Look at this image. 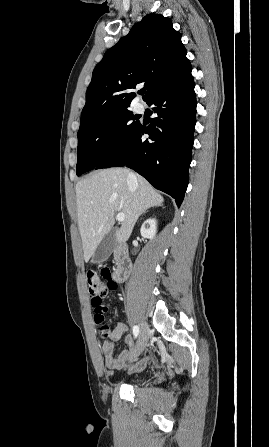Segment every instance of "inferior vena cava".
<instances>
[{
    "mask_svg": "<svg viewBox=\"0 0 269 447\" xmlns=\"http://www.w3.org/2000/svg\"><path fill=\"white\" fill-rule=\"evenodd\" d=\"M128 180H136L135 174H132V172H130V174H128Z\"/></svg>",
    "mask_w": 269,
    "mask_h": 447,
    "instance_id": "602c4592",
    "label": "inferior vena cava"
}]
</instances>
